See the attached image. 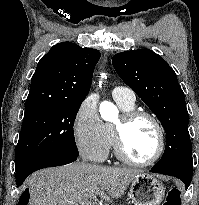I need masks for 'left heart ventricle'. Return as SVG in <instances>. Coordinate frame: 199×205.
I'll use <instances>...</instances> for the list:
<instances>
[{
    "instance_id": "1",
    "label": "left heart ventricle",
    "mask_w": 199,
    "mask_h": 205,
    "mask_svg": "<svg viewBox=\"0 0 199 205\" xmlns=\"http://www.w3.org/2000/svg\"><path fill=\"white\" fill-rule=\"evenodd\" d=\"M157 144L156 128L146 118L137 119L124 129V150L134 160L145 161L150 159L156 151Z\"/></svg>"
}]
</instances>
